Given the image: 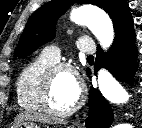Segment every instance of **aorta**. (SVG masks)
<instances>
[{
    "label": "aorta",
    "mask_w": 142,
    "mask_h": 128,
    "mask_svg": "<svg viewBox=\"0 0 142 128\" xmlns=\"http://www.w3.org/2000/svg\"><path fill=\"white\" fill-rule=\"evenodd\" d=\"M70 19L76 24L86 25L104 50L113 43V24L105 12L94 7L81 6L71 12ZM98 85L102 96L112 103L124 104L129 100L127 91L106 69L99 71ZM118 128H132V125L125 123Z\"/></svg>",
    "instance_id": "obj_1"
}]
</instances>
